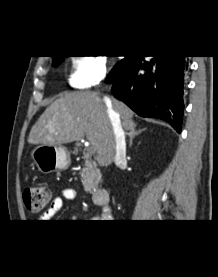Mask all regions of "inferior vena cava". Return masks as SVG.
<instances>
[{
  "instance_id": "inferior-vena-cava-1",
  "label": "inferior vena cava",
  "mask_w": 218,
  "mask_h": 277,
  "mask_svg": "<svg viewBox=\"0 0 218 277\" xmlns=\"http://www.w3.org/2000/svg\"><path fill=\"white\" fill-rule=\"evenodd\" d=\"M108 107V114L111 121L114 138H115V156L114 162L117 166L126 164V141L125 133L122 129L119 115L113 109L111 101L106 100Z\"/></svg>"
}]
</instances>
